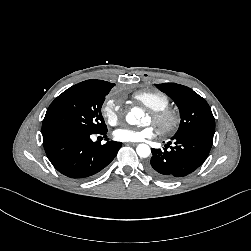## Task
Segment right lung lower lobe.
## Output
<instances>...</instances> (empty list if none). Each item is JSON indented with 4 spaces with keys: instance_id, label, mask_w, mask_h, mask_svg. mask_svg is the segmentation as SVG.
Masks as SVG:
<instances>
[{
    "instance_id": "right-lung-lower-lobe-1",
    "label": "right lung lower lobe",
    "mask_w": 251,
    "mask_h": 251,
    "mask_svg": "<svg viewBox=\"0 0 251 251\" xmlns=\"http://www.w3.org/2000/svg\"><path fill=\"white\" fill-rule=\"evenodd\" d=\"M107 133V129L100 135ZM91 133L52 131L43 135V145L52 165L63 175L84 180L104 169L117 155L122 143L93 142Z\"/></svg>"
}]
</instances>
